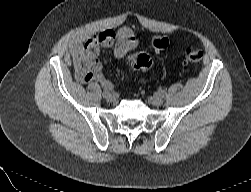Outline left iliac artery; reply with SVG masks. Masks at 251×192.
<instances>
[{"label": "left iliac artery", "mask_w": 251, "mask_h": 192, "mask_svg": "<svg viewBox=\"0 0 251 192\" xmlns=\"http://www.w3.org/2000/svg\"><path fill=\"white\" fill-rule=\"evenodd\" d=\"M159 95H160V96H162V97H164V95H165V91H162V90H161V91H159Z\"/></svg>", "instance_id": "44dca946"}]
</instances>
